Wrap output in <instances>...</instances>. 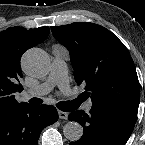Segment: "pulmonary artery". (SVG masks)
Returning a JSON list of instances; mask_svg holds the SVG:
<instances>
[{"mask_svg": "<svg viewBox=\"0 0 145 145\" xmlns=\"http://www.w3.org/2000/svg\"><path fill=\"white\" fill-rule=\"evenodd\" d=\"M55 86H58L62 94L71 93L68 77L67 66L63 57L55 56L52 61L51 70L47 79L38 86L29 89L23 93V97L40 96L50 92ZM93 102L89 100L84 105V110L89 112L92 109Z\"/></svg>", "mask_w": 145, "mask_h": 145, "instance_id": "e3ab8cb5", "label": "pulmonary artery"}]
</instances>
